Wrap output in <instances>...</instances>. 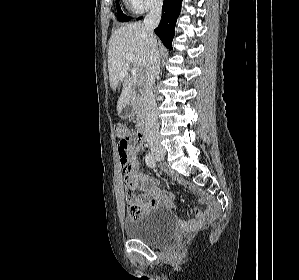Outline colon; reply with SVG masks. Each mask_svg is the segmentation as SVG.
Instances as JSON below:
<instances>
[{
	"label": "colon",
	"mask_w": 299,
	"mask_h": 280,
	"mask_svg": "<svg viewBox=\"0 0 299 280\" xmlns=\"http://www.w3.org/2000/svg\"><path fill=\"white\" fill-rule=\"evenodd\" d=\"M115 130L118 140L119 158L124 175H126L130 170L129 149L131 147L133 137L126 126L118 125ZM126 203L127 213L132 218H139L147 211L146 206L139 201L138 197L130 187L126 189Z\"/></svg>",
	"instance_id": "1"
}]
</instances>
